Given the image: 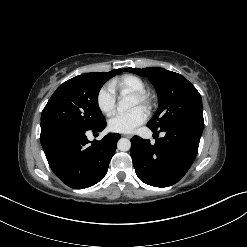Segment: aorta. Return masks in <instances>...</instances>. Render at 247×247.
Wrapping results in <instances>:
<instances>
[{"instance_id":"762f6f07","label":"aorta","mask_w":247,"mask_h":247,"mask_svg":"<svg viewBox=\"0 0 247 247\" xmlns=\"http://www.w3.org/2000/svg\"><path fill=\"white\" fill-rule=\"evenodd\" d=\"M133 106V101L130 98L123 97L118 102V110L123 111L131 108ZM117 148L120 151H128L131 148V142L127 138H120L117 142Z\"/></svg>"}]
</instances>
